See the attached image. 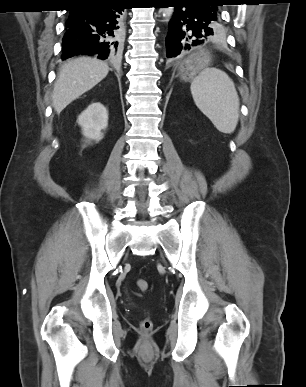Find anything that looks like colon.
<instances>
[{"mask_svg":"<svg viewBox=\"0 0 306 387\" xmlns=\"http://www.w3.org/2000/svg\"><path fill=\"white\" fill-rule=\"evenodd\" d=\"M136 285L141 292H147L149 289V284L145 279H138L136 281ZM152 327H153V324L150 319H144L140 324V328L144 332H149L152 329Z\"/></svg>","mask_w":306,"mask_h":387,"instance_id":"obj_1","label":"colon"}]
</instances>
